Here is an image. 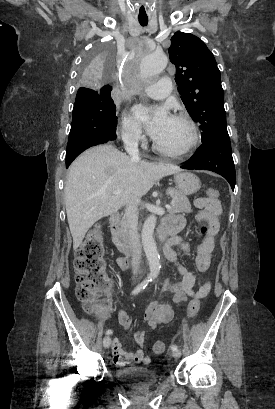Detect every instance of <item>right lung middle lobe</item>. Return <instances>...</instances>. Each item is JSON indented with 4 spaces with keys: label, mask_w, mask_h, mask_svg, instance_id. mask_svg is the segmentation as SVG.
Returning <instances> with one entry per match:
<instances>
[{
    "label": "right lung middle lobe",
    "mask_w": 275,
    "mask_h": 409,
    "mask_svg": "<svg viewBox=\"0 0 275 409\" xmlns=\"http://www.w3.org/2000/svg\"><path fill=\"white\" fill-rule=\"evenodd\" d=\"M94 50H87L77 79L78 90H101L103 79L112 82L120 58L119 50H112L111 42H94ZM119 96H98L77 92L72 125L66 151V170L84 150L116 138V106Z\"/></svg>",
    "instance_id": "dd1d6c3e"
}]
</instances>
